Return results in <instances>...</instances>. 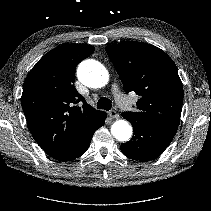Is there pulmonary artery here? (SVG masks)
Listing matches in <instances>:
<instances>
[{"label":"pulmonary artery","mask_w":211,"mask_h":211,"mask_svg":"<svg viewBox=\"0 0 211 211\" xmlns=\"http://www.w3.org/2000/svg\"><path fill=\"white\" fill-rule=\"evenodd\" d=\"M113 93L116 96L117 102L120 106H122L124 108L129 106L128 99L120 93V90L117 87L113 88Z\"/></svg>","instance_id":"1"}]
</instances>
